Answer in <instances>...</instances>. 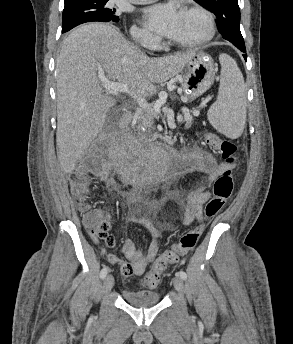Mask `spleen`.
<instances>
[{
  "mask_svg": "<svg viewBox=\"0 0 293 344\" xmlns=\"http://www.w3.org/2000/svg\"><path fill=\"white\" fill-rule=\"evenodd\" d=\"M220 86L216 102L208 110L210 124L226 137L236 139L246 122V94L243 75L236 61L220 54Z\"/></svg>",
  "mask_w": 293,
  "mask_h": 344,
  "instance_id": "spleen-1",
  "label": "spleen"
}]
</instances>
